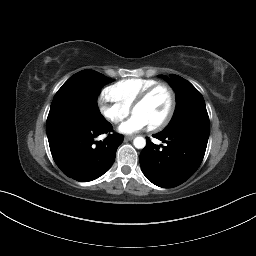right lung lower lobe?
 Returning a JSON list of instances; mask_svg holds the SVG:
<instances>
[{
	"instance_id": "1",
	"label": "right lung lower lobe",
	"mask_w": 256,
	"mask_h": 256,
	"mask_svg": "<svg viewBox=\"0 0 256 256\" xmlns=\"http://www.w3.org/2000/svg\"><path fill=\"white\" fill-rule=\"evenodd\" d=\"M112 129L107 121L73 118L47 120L46 131L55 163L66 176L77 181L97 179L113 164L123 136L109 134L102 142L94 139Z\"/></svg>"
}]
</instances>
